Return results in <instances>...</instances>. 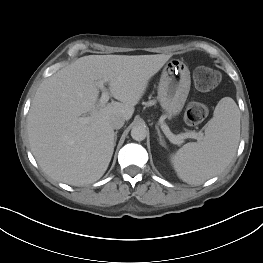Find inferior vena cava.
I'll return each instance as SVG.
<instances>
[{
  "label": "inferior vena cava",
  "instance_id": "obj_1",
  "mask_svg": "<svg viewBox=\"0 0 263 263\" xmlns=\"http://www.w3.org/2000/svg\"><path fill=\"white\" fill-rule=\"evenodd\" d=\"M125 119L122 116H115L111 119L113 129H120L124 125Z\"/></svg>",
  "mask_w": 263,
  "mask_h": 263
}]
</instances>
